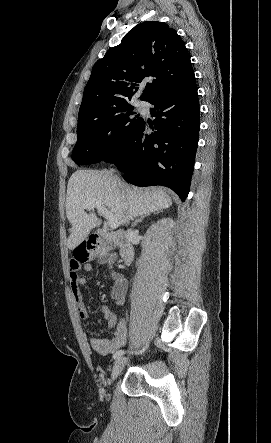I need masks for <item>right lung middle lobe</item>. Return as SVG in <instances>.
Returning a JSON list of instances; mask_svg holds the SVG:
<instances>
[{
    "label": "right lung middle lobe",
    "mask_w": 271,
    "mask_h": 443,
    "mask_svg": "<svg viewBox=\"0 0 271 443\" xmlns=\"http://www.w3.org/2000/svg\"><path fill=\"white\" fill-rule=\"evenodd\" d=\"M133 109L128 104L101 117L78 119L73 161L77 164H92L112 160L123 140L142 121L141 118L131 117ZM111 129L112 137L108 138L107 133Z\"/></svg>",
    "instance_id": "obj_1"
}]
</instances>
